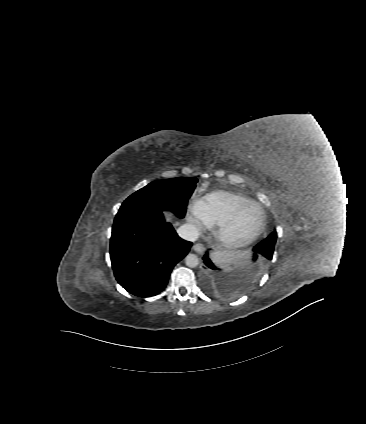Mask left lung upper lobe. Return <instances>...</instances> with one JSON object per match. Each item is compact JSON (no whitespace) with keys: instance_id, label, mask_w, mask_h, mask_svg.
Masks as SVG:
<instances>
[{"instance_id":"obj_1","label":"left lung upper lobe","mask_w":366,"mask_h":424,"mask_svg":"<svg viewBox=\"0 0 366 424\" xmlns=\"http://www.w3.org/2000/svg\"><path fill=\"white\" fill-rule=\"evenodd\" d=\"M277 240L276 231L272 232L266 239L261 241L258 245H256V250L259 254L260 263L258 260L255 261V274H259L262 272L263 265L272 259L273 251L275 248V243Z\"/></svg>"}]
</instances>
